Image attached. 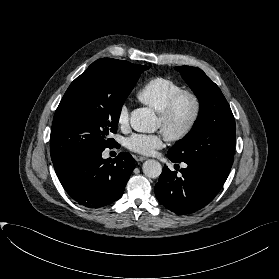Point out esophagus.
Wrapping results in <instances>:
<instances>
[{"label": "esophagus", "instance_id": "34e87169", "mask_svg": "<svg viewBox=\"0 0 279 279\" xmlns=\"http://www.w3.org/2000/svg\"><path fill=\"white\" fill-rule=\"evenodd\" d=\"M134 158L137 162H142L147 159L146 157L140 155H136Z\"/></svg>", "mask_w": 279, "mask_h": 279}]
</instances>
